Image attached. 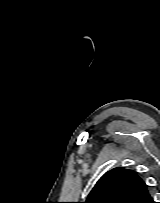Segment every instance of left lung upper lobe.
I'll return each instance as SVG.
<instances>
[{"label": "left lung upper lobe", "instance_id": "obj_1", "mask_svg": "<svg viewBox=\"0 0 160 203\" xmlns=\"http://www.w3.org/2000/svg\"><path fill=\"white\" fill-rule=\"evenodd\" d=\"M85 203H155L148 186L133 170L114 168L96 183Z\"/></svg>", "mask_w": 160, "mask_h": 203}]
</instances>
